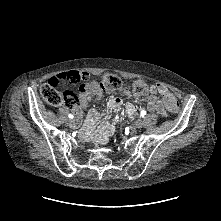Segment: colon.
<instances>
[{
    "instance_id": "5ec220e1",
    "label": "colon",
    "mask_w": 221,
    "mask_h": 221,
    "mask_svg": "<svg viewBox=\"0 0 221 221\" xmlns=\"http://www.w3.org/2000/svg\"><path fill=\"white\" fill-rule=\"evenodd\" d=\"M122 86L121 79L116 75H107L100 83L102 90L115 91ZM133 96L138 100H145L148 98L151 89L149 86L142 82H134L131 88ZM40 94L43 100L52 107H58L61 105L74 106L77 103L76 95L71 91H60L58 88L50 87L45 83L41 89ZM167 105L172 112H177L179 105L174 97L166 98Z\"/></svg>"
}]
</instances>
